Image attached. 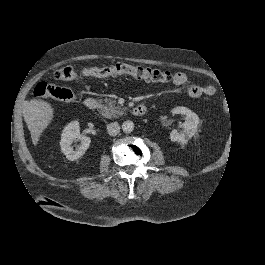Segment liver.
<instances>
[{
	"label": "liver",
	"mask_w": 265,
	"mask_h": 265,
	"mask_svg": "<svg viewBox=\"0 0 265 265\" xmlns=\"http://www.w3.org/2000/svg\"><path fill=\"white\" fill-rule=\"evenodd\" d=\"M23 114L31 134L32 143L37 145L41 133L53 118V108L43 100L33 99L26 101Z\"/></svg>",
	"instance_id": "obj_1"
}]
</instances>
